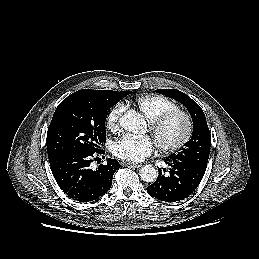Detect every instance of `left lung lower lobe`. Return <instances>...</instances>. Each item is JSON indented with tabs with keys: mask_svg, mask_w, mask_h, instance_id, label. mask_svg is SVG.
<instances>
[{
	"mask_svg": "<svg viewBox=\"0 0 259 259\" xmlns=\"http://www.w3.org/2000/svg\"><path fill=\"white\" fill-rule=\"evenodd\" d=\"M165 162L171 167L170 175L164 176L162 170H159L157 180L147 187V192L166 202L188 197L198 187L205 170L185 160L166 158Z\"/></svg>",
	"mask_w": 259,
	"mask_h": 259,
	"instance_id": "0a47b994",
	"label": "left lung lower lobe"
}]
</instances>
